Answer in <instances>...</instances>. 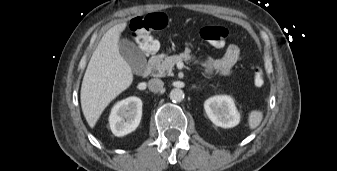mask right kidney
<instances>
[{"mask_svg":"<svg viewBox=\"0 0 337 171\" xmlns=\"http://www.w3.org/2000/svg\"><path fill=\"white\" fill-rule=\"evenodd\" d=\"M142 117V101L132 96L117 102L111 110L109 124L112 133L121 137L133 132Z\"/></svg>","mask_w":337,"mask_h":171,"instance_id":"ca27d5eb","label":"right kidney"}]
</instances>
